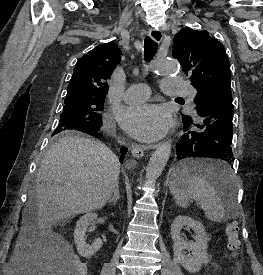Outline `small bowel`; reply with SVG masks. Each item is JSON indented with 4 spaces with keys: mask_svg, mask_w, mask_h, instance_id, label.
Masks as SVG:
<instances>
[{
    "mask_svg": "<svg viewBox=\"0 0 263 275\" xmlns=\"http://www.w3.org/2000/svg\"><path fill=\"white\" fill-rule=\"evenodd\" d=\"M42 256H39L38 258H36V260L32 261L29 266L28 269L31 272V275H53L51 274L52 272V262H43L42 261Z\"/></svg>",
    "mask_w": 263,
    "mask_h": 275,
    "instance_id": "obj_1",
    "label": "small bowel"
}]
</instances>
